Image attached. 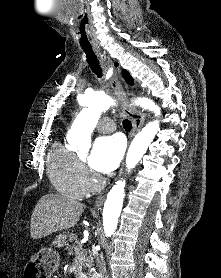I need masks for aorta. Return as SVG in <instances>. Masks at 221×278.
<instances>
[{
	"mask_svg": "<svg viewBox=\"0 0 221 278\" xmlns=\"http://www.w3.org/2000/svg\"><path fill=\"white\" fill-rule=\"evenodd\" d=\"M137 104L160 115V108L150 99H138ZM111 99L103 93L93 92L87 95L85 108L77 115L69 131V141L77 150L87 152L91 145V133L96 127L101 112L111 106ZM160 130L157 120L149 122L134 137L126 157V166L130 170L134 168L146 153L148 146L153 141L156 133ZM125 191V181L119 180L111 188L103 209V227L106 237H110L117 228Z\"/></svg>",
	"mask_w": 221,
	"mask_h": 278,
	"instance_id": "762f6f07",
	"label": "aorta"
}]
</instances>
